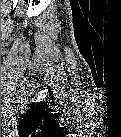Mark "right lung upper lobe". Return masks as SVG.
<instances>
[{
  "label": "right lung upper lobe",
  "mask_w": 121,
  "mask_h": 137,
  "mask_svg": "<svg viewBox=\"0 0 121 137\" xmlns=\"http://www.w3.org/2000/svg\"><path fill=\"white\" fill-rule=\"evenodd\" d=\"M60 130L55 116L41 103L32 106L22 116L19 132L22 135L53 134Z\"/></svg>",
  "instance_id": "right-lung-upper-lobe-1"
}]
</instances>
